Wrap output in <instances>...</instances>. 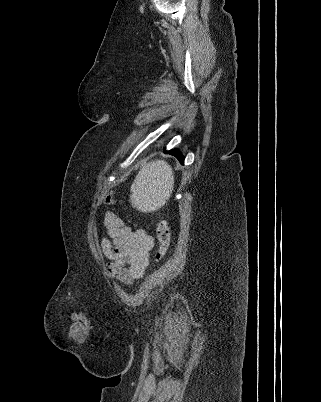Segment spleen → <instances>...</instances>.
Wrapping results in <instances>:
<instances>
[{
    "instance_id": "obj_1",
    "label": "spleen",
    "mask_w": 321,
    "mask_h": 402,
    "mask_svg": "<svg viewBox=\"0 0 321 402\" xmlns=\"http://www.w3.org/2000/svg\"><path fill=\"white\" fill-rule=\"evenodd\" d=\"M174 187L172 167L163 160L147 163L131 185L130 202L142 212L161 208L170 198Z\"/></svg>"
}]
</instances>
